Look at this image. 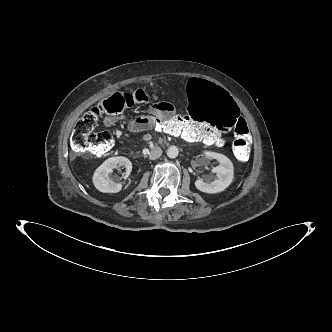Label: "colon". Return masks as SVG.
I'll use <instances>...</instances> for the list:
<instances>
[{
	"instance_id": "colon-1",
	"label": "colon",
	"mask_w": 332,
	"mask_h": 332,
	"mask_svg": "<svg viewBox=\"0 0 332 332\" xmlns=\"http://www.w3.org/2000/svg\"><path fill=\"white\" fill-rule=\"evenodd\" d=\"M131 93L119 92L108 96L96 107L86 112L75 124L71 136V146L78 154L103 156L113 147V136L109 131H97L101 117L124 114L135 102ZM188 116L177 115L172 120H164L160 115L154 119V113L146 110L140 120L151 124L157 132L169 135L192 136L195 141L220 145L218 134L234 128L232 151L239 161H246L250 153V136L247 123L240 119L239 106L234 96L219 85L196 77L189 80L184 89ZM208 128L209 130L200 128Z\"/></svg>"
}]
</instances>
